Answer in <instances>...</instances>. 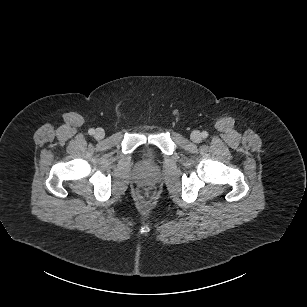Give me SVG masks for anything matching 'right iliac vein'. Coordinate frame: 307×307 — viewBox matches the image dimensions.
Instances as JSON below:
<instances>
[{
  "instance_id": "63e3f726",
  "label": "right iliac vein",
  "mask_w": 307,
  "mask_h": 307,
  "mask_svg": "<svg viewBox=\"0 0 307 307\" xmlns=\"http://www.w3.org/2000/svg\"><path fill=\"white\" fill-rule=\"evenodd\" d=\"M105 136V132L102 128H97L95 133H94V137L97 139V140H101L103 139Z\"/></svg>"
}]
</instances>
